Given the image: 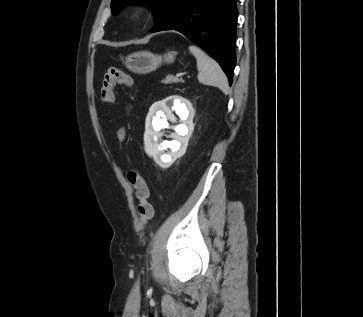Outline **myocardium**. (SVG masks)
<instances>
[{
    "label": "myocardium",
    "mask_w": 363,
    "mask_h": 317,
    "mask_svg": "<svg viewBox=\"0 0 363 317\" xmlns=\"http://www.w3.org/2000/svg\"><path fill=\"white\" fill-rule=\"evenodd\" d=\"M146 11L147 8L144 5L133 6L128 13L129 20L133 22L142 20L146 14Z\"/></svg>",
    "instance_id": "myocardium-1"
}]
</instances>
